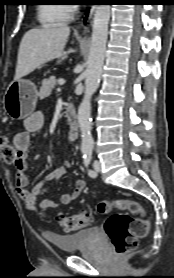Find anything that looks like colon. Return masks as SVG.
<instances>
[{"label": "colon", "instance_id": "colon-1", "mask_svg": "<svg viewBox=\"0 0 174 278\" xmlns=\"http://www.w3.org/2000/svg\"><path fill=\"white\" fill-rule=\"evenodd\" d=\"M0 153L7 163H13L16 158L14 147L2 136ZM114 209L122 212L112 214L106 220L105 231L116 253L125 254L135 249L138 239L147 234L149 222L144 217L142 206L131 199L103 200L97 206L101 214H108ZM57 220L64 231L72 232L89 226L93 222V214L89 211L74 215L59 214Z\"/></svg>", "mask_w": 174, "mask_h": 278}]
</instances>
